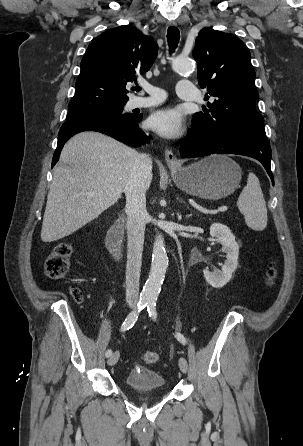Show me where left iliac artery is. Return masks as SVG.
<instances>
[{
	"instance_id": "44dca946",
	"label": "left iliac artery",
	"mask_w": 303,
	"mask_h": 446,
	"mask_svg": "<svg viewBox=\"0 0 303 446\" xmlns=\"http://www.w3.org/2000/svg\"><path fill=\"white\" fill-rule=\"evenodd\" d=\"M147 310H148L149 316L152 317V319L156 320V318H157V311H156V301H155V299L148 300ZM174 335H175L176 339L179 342H181L182 344L186 343V339H185V337L181 333L176 332Z\"/></svg>"
}]
</instances>
